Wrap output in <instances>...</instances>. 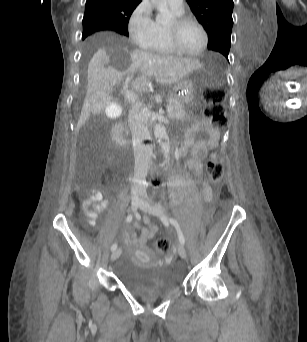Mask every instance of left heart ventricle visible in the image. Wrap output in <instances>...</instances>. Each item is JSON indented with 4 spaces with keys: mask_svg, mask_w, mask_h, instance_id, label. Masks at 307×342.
<instances>
[{
    "mask_svg": "<svg viewBox=\"0 0 307 342\" xmlns=\"http://www.w3.org/2000/svg\"><path fill=\"white\" fill-rule=\"evenodd\" d=\"M170 26L171 23L165 29H168ZM177 40L186 52L195 53L203 46L204 34L197 23L188 22L179 29Z\"/></svg>",
    "mask_w": 307,
    "mask_h": 342,
    "instance_id": "1",
    "label": "left heart ventricle"
}]
</instances>
